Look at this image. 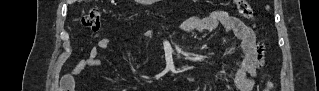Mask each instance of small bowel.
<instances>
[{
  "mask_svg": "<svg viewBox=\"0 0 319 91\" xmlns=\"http://www.w3.org/2000/svg\"><path fill=\"white\" fill-rule=\"evenodd\" d=\"M222 27L227 33L237 36L240 40V58L236 61L234 82L239 91H252L255 77L264 64V47L257 40L254 31L238 18L225 11H213L204 18L190 17L181 24V31L207 33ZM111 40L102 38L93 47L87 58L82 59L72 74L82 72L90 66H101L103 62L98 58L99 50L107 49Z\"/></svg>",
  "mask_w": 319,
  "mask_h": 91,
  "instance_id": "1",
  "label": "small bowel"
}]
</instances>
